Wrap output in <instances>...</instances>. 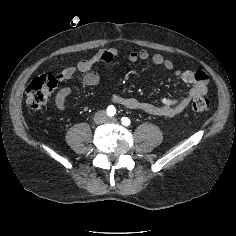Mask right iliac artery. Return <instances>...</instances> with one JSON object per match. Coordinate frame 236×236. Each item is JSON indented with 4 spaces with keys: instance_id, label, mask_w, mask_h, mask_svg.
<instances>
[{
    "instance_id": "1",
    "label": "right iliac artery",
    "mask_w": 236,
    "mask_h": 236,
    "mask_svg": "<svg viewBox=\"0 0 236 236\" xmlns=\"http://www.w3.org/2000/svg\"><path fill=\"white\" fill-rule=\"evenodd\" d=\"M107 114L108 116H114L116 114V109L113 105L108 106Z\"/></svg>"
}]
</instances>
